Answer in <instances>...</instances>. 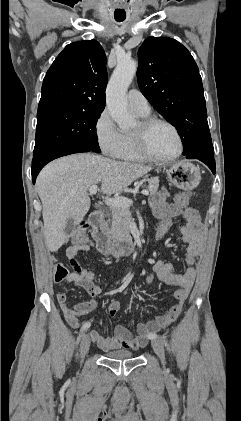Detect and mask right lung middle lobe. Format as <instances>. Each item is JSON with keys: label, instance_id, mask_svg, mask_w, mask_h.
Listing matches in <instances>:
<instances>
[{"label": "right lung middle lobe", "instance_id": "dd1d6c3e", "mask_svg": "<svg viewBox=\"0 0 241 421\" xmlns=\"http://www.w3.org/2000/svg\"><path fill=\"white\" fill-rule=\"evenodd\" d=\"M101 113L68 108L38 110L33 158L68 148L100 153L96 123Z\"/></svg>", "mask_w": 241, "mask_h": 421}]
</instances>
